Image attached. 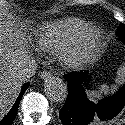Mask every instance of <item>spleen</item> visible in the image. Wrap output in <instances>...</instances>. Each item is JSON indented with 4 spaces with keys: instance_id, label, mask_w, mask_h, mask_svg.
I'll return each instance as SVG.
<instances>
[{
    "instance_id": "spleen-1",
    "label": "spleen",
    "mask_w": 125,
    "mask_h": 125,
    "mask_svg": "<svg viewBox=\"0 0 125 125\" xmlns=\"http://www.w3.org/2000/svg\"><path fill=\"white\" fill-rule=\"evenodd\" d=\"M125 65V64H124ZM121 66L117 71V78L115 79L117 84H122L125 82V66ZM116 90V85L108 86L106 84H102L99 87V90L91 91L87 95L90 99L99 98L102 94L107 95L110 91L114 92Z\"/></svg>"
}]
</instances>
